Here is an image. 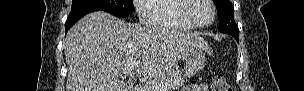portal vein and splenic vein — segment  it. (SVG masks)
Masks as SVG:
<instances>
[{"mask_svg":"<svg viewBox=\"0 0 304 91\" xmlns=\"http://www.w3.org/2000/svg\"><path fill=\"white\" fill-rule=\"evenodd\" d=\"M138 66H139V61H138V60L133 61L131 64H129V65L127 66V71H128V72H131V71L137 69ZM155 88H156L157 91H167L168 86H167L166 83L157 82V83L155 84Z\"/></svg>","mask_w":304,"mask_h":91,"instance_id":"obj_1","label":"portal vein and splenic vein"}]
</instances>
